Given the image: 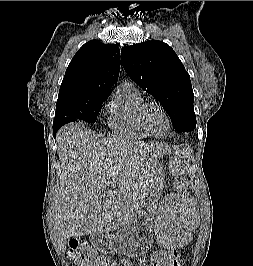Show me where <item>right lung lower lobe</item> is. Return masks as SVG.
<instances>
[{
  "label": "right lung lower lobe",
  "instance_id": "98d812e1",
  "mask_svg": "<svg viewBox=\"0 0 253 266\" xmlns=\"http://www.w3.org/2000/svg\"><path fill=\"white\" fill-rule=\"evenodd\" d=\"M60 127L59 126H53V133L54 135L56 134L57 130L59 129Z\"/></svg>",
  "mask_w": 253,
  "mask_h": 266
}]
</instances>
